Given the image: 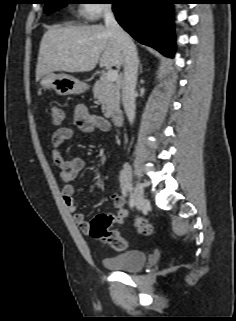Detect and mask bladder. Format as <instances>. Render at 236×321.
<instances>
[{"label": "bladder", "instance_id": "bladder-1", "mask_svg": "<svg viewBox=\"0 0 236 321\" xmlns=\"http://www.w3.org/2000/svg\"><path fill=\"white\" fill-rule=\"evenodd\" d=\"M103 264L116 271L135 272L141 270L147 262L143 250L133 249L114 256L104 257Z\"/></svg>", "mask_w": 236, "mask_h": 321}]
</instances>
